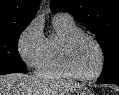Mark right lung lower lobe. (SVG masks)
Masks as SVG:
<instances>
[{"label":"right lung lower lobe","mask_w":119,"mask_h":95,"mask_svg":"<svg viewBox=\"0 0 119 95\" xmlns=\"http://www.w3.org/2000/svg\"><path fill=\"white\" fill-rule=\"evenodd\" d=\"M15 72L16 71H14V70L0 68V75L9 74V73H15Z\"/></svg>","instance_id":"98d812e1"}]
</instances>
